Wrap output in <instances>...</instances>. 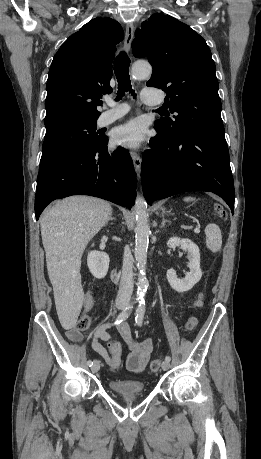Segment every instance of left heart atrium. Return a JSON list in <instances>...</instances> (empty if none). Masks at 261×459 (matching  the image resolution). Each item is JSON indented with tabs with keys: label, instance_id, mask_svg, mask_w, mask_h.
Here are the masks:
<instances>
[{
	"label": "left heart atrium",
	"instance_id": "obj_1",
	"mask_svg": "<svg viewBox=\"0 0 261 459\" xmlns=\"http://www.w3.org/2000/svg\"><path fill=\"white\" fill-rule=\"evenodd\" d=\"M112 137L116 145L127 148H138L145 138L144 126L139 120H131L117 127Z\"/></svg>",
	"mask_w": 261,
	"mask_h": 459
}]
</instances>
